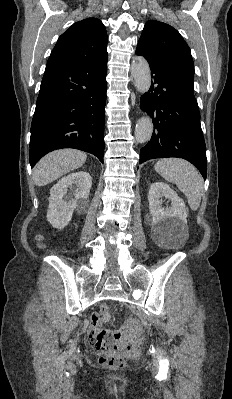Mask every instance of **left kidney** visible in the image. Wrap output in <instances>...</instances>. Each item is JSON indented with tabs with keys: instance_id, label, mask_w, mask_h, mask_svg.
I'll list each match as a JSON object with an SVG mask.
<instances>
[{
	"instance_id": "left-kidney-1",
	"label": "left kidney",
	"mask_w": 232,
	"mask_h": 399,
	"mask_svg": "<svg viewBox=\"0 0 232 399\" xmlns=\"http://www.w3.org/2000/svg\"><path fill=\"white\" fill-rule=\"evenodd\" d=\"M171 201L170 207H162V198ZM149 209L152 215L151 237L156 243H180L188 239L185 203L168 184L155 182L149 194Z\"/></svg>"
}]
</instances>
